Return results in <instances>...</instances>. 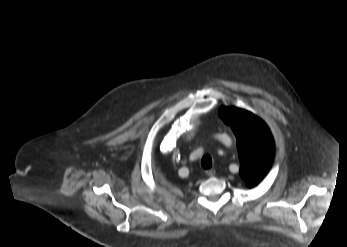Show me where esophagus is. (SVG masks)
Here are the masks:
<instances>
[{
    "label": "esophagus",
    "instance_id": "34e87169",
    "mask_svg": "<svg viewBox=\"0 0 347 247\" xmlns=\"http://www.w3.org/2000/svg\"><path fill=\"white\" fill-rule=\"evenodd\" d=\"M205 173L207 176H214L216 171L214 169H209V170H206Z\"/></svg>",
    "mask_w": 347,
    "mask_h": 247
}]
</instances>
